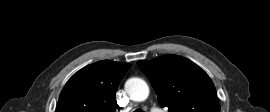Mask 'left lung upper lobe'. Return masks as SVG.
<instances>
[{
    "label": "left lung upper lobe",
    "instance_id": "obj_1",
    "mask_svg": "<svg viewBox=\"0 0 270 112\" xmlns=\"http://www.w3.org/2000/svg\"><path fill=\"white\" fill-rule=\"evenodd\" d=\"M137 64L169 112H220L212 80L189 59L164 55Z\"/></svg>",
    "mask_w": 270,
    "mask_h": 112
}]
</instances>
